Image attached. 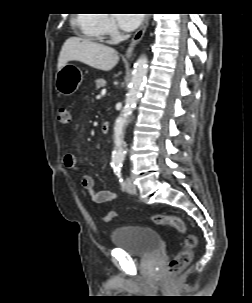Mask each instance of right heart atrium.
Listing matches in <instances>:
<instances>
[{"label": "right heart atrium", "mask_w": 252, "mask_h": 303, "mask_svg": "<svg viewBox=\"0 0 252 303\" xmlns=\"http://www.w3.org/2000/svg\"><path fill=\"white\" fill-rule=\"evenodd\" d=\"M99 27L105 35H107L111 40L113 39L116 34V25L110 15L104 14L101 16Z\"/></svg>", "instance_id": "d8ad5b80"}]
</instances>
